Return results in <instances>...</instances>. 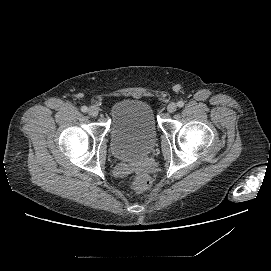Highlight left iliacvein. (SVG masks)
<instances>
[{
    "instance_id": "4c4485c4",
    "label": "left iliac vein",
    "mask_w": 271,
    "mask_h": 271,
    "mask_svg": "<svg viewBox=\"0 0 271 271\" xmlns=\"http://www.w3.org/2000/svg\"><path fill=\"white\" fill-rule=\"evenodd\" d=\"M176 110H177V104L174 103V102L170 103V104L167 106V111H168L169 113H173V112H175Z\"/></svg>"
}]
</instances>
